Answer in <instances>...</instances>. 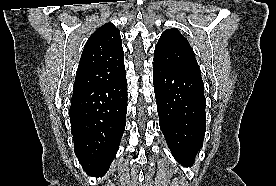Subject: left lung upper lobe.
Listing matches in <instances>:
<instances>
[{"label":"left lung upper lobe","mask_w":276,"mask_h":186,"mask_svg":"<svg viewBox=\"0 0 276 186\" xmlns=\"http://www.w3.org/2000/svg\"><path fill=\"white\" fill-rule=\"evenodd\" d=\"M154 62L201 77L200 68L189 42L176 29L165 30L155 47Z\"/></svg>","instance_id":"5c2ea615"}]
</instances>
